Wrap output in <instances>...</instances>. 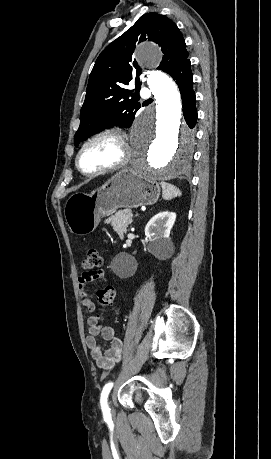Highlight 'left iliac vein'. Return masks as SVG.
Listing matches in <instances>:
<instances>
[{"label": "left iliac vein", "instance_id": "4c4485c4", "mask_svg": "<svg viewBox=\"0 0 271 459\" xmlns=\"http://www.w3.org/2000/svg\"><path fill=\"white\" fill-rule=\"evenodd\" d=\"M108 405H109L110 410H112L113 408H112V403L110 400L108 401Z\"/></svg>", "mask_w": 271, "mask_h": 459}]
</instances>
